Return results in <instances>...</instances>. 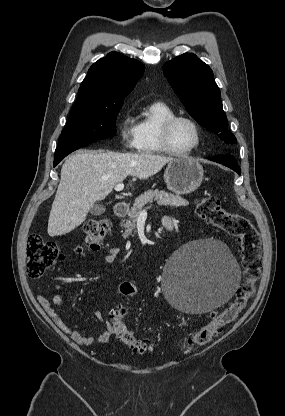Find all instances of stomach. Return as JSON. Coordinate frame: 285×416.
<instances>
[{
	"instance_id": "0dacf381",
	"label": "stomach",
	"mask_w": 285,
	"mask_h": 416,
	"mask_svg": "<svg viewBox=\"0 0 285 416\" xmlns=\"http://www.w3.org/2000/svg\"><path fill=\"white\" fill-rule=\"evenodd\" d=\"M204 176V170L194 158H176L169 162L164 180L168 190L174 194H191L199 188Z\"/></svg>"
}]
</instances>
